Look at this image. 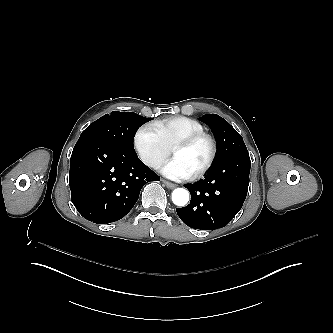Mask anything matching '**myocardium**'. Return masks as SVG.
Listing matches in <instances>:
<instances>
[{"mask_svg":"<svg viewBox=\"0 0 333 333\" xmlns=\"http://www.w3.org/2000/svg\"><path fill=\"white\" fill-rule=\"evenodd\" d=\"M206 141L209 145V155L206 159V161L200 166V168L190 176V180L199 179L202 177L213 165L216 156H217V144L212 136H210L207 133H199L195 135L188 136L178 143H176L172 150H175L177 148H188L197 145L198 143Z\"/></svg>","mask_w":333,"mask_h":333,"instance_id":"1","label":"myocardium"}]
</instances>
